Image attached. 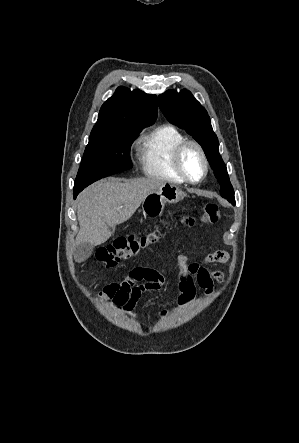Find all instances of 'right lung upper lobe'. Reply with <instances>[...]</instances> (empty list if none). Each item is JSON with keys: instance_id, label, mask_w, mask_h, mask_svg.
Instances as JSON below:
<instances>
[{"instance_id": "1", "label": "right lung upper lobe", "mask_w": 299, "mask_h": 443, "mask_svg": "<svg viewBox=\"0 0 299 443\" xmlns=\"http://www.w3.org/2000/svg\"><path fill=\"white\" fill-rule=\"evenodd\" d=\"M156 118L155 95L119 87L102 105L90 136L119 129L139 128L142 125L153 124Z\"/></svg>"}]
</instances>
